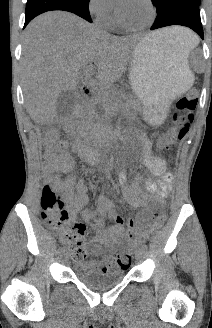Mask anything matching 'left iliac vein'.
<instances>
[{"instance_id": "obj_1", "label": "left iliac vein", "mask_w": 212, "mask_h": 328, "mask_svg": "<svg viewBox=\"0 0 212 328\" xmlns=\"http://www.w3.org/2000/svg\"><path fill=\"white\" fill-rule=\"evenodd\" d=\"M144 256V250L142 248H138L135 251V258L138 262H140L143 259Z\"/></svg>"}]
</instances>
